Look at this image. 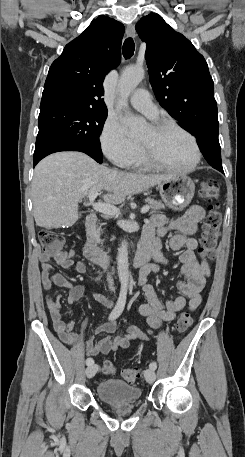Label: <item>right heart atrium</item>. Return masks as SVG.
I'll return each mask as SVG.
<instances>
[{
	"label": "right heart atrium",
	"mask_w": 245,
	"mask_h": 457,
	"mask_svg": "<svg viewBox=\"0 0 245 457\" xmlns=\"http://www.w3.org/2000/svg\"><path fill=\"white\" fill-rule=\"evenodd\" d=\"M100 142L106 156L115 163L125 164L137 152V145L127 136L117 118L106 119Z\"/></svg>",
	"instance_id": "1"
}]
</instances>
